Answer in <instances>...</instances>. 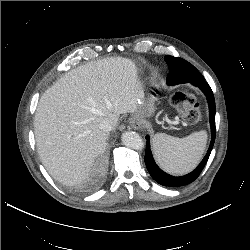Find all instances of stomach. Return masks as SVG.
Listing matches in <instances>:
<instances>
[{"mask_svg": "<svg viewBox=\"0 0 250 250\" xmlns=\"http://www.w3.org/2000/svg\"><path fill=\"white\" fill-rule=\"evenodd\" d=\"M157 90L153 87L149 91L146 98L141 100L139 104V109L134 113V117L141 123L145 122L154 112V101L157 97Z\"/></svg>", "mask_w": 250, "mask_h": 250, "instance_id": "stomach-1", "label": "stomach"}]
</instances>
